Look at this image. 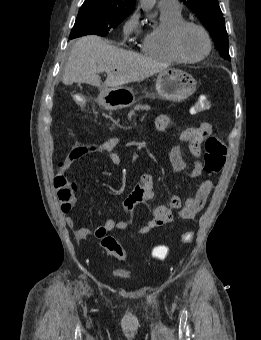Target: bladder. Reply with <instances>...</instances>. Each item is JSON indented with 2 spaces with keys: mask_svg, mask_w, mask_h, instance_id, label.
I'll return each mask as SVG.
<instances>
[{
  "mask_svg": "<svg viewBox=\"0 0 261 340\" xmlns=\"http://www.w3.org/2000/svg\"><path fill=\"white\" fill-rule=\"evenodd\" d=\"M121 276H122L123 278H126V277H127V275H124V274H123V275H121Z\"/></svg>",
  "mask_w": 261,
  "mask_h": 340,
  "instance_id": "1",
  "label": "bladder"
}]
</instances>
